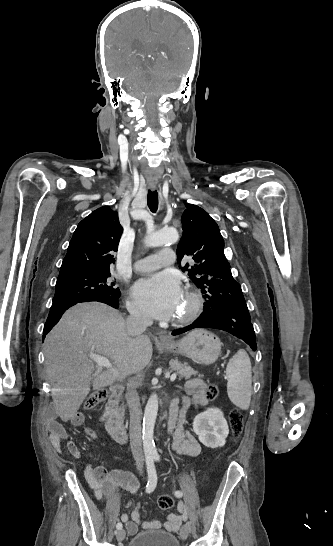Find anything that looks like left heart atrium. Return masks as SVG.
<instances>
[{"label":"left heart atrium","mask_w":333,"mask_h":546,"mask_svg":"<svg viewBox=\"0 0 333 546\" xmlns=\"http://www.w3.org/2000/svg\"><path fill=\"white\" fill-rule=\"evenodd\" d=\"M133 291L144 311L157 319L173 318L183 295L179 278L171 271L139 280Z\"/></svg>","instance_id":"1"}]
</instances>
